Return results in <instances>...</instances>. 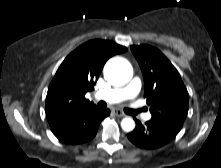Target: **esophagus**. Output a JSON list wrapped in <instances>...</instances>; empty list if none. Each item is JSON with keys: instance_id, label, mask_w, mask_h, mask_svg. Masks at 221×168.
Returning <instances> with one entry per match:
<instances>
[{"instance_id": "obj_1", "label": "esophagus", "mask_w": 221, "mask_h": 168, "mask_svg": "<svg viewBox=\"0 0 221 168\" xmlns=\"http://www.w3.org/2000/svg\"><path fill=\"white\" fill-rule=\"evenodd\" d=\"M114 114L118 117H124L125 116V113H123L121 110L119 109H116L114 110Z\"/></svg>"}]
</instances>
